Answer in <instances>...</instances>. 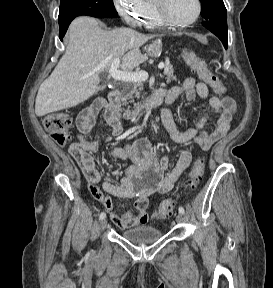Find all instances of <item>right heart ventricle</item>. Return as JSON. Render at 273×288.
<instances>
[{
	"mask_svg": "<svg viewBox=\"0 0 273 288\" xmlns=\"http://www.w3.org/2000/svg\"><path fill=\"white\" fill-rule=\"evenodd\" d=\"M146 28H157L162 25V22L157 18L153 7L152 0L149 1V7L145 15L143 16L141 23Z\"/></svg>",
	"mask_w": 273,
	"mask_h": 288,
	"instance_id": "e07e8e85",
	"label": "right heart ventricle"
}]
</instances>
